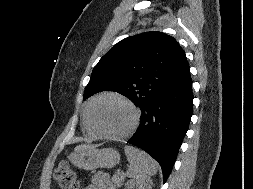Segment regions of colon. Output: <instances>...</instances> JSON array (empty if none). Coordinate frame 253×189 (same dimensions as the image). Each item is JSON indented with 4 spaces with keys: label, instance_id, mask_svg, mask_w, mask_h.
I'll use <instances>...</instances> for the list:
<instances>
[{
    "label": "colon",
    "instance_id": "colon-1",
    "mask_svg": "<svg viewBox=\"0 0 253 189\" xmlns=\"http://www.w3.org/2000/svg\"><path fill=\"white\" fill-rule=\"evenodd\" d=\"M53 178L60 189H79V183L73 170L65 163L58 165Z\"/></svg>",
    "mask_w": 253,
    "mask_h": 189
}]
</instances>
